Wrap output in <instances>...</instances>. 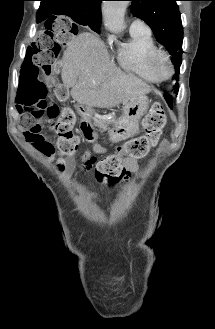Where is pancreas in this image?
<instances>
[{
  "instance_id": "1",
  "label": "pancreas",
  "mask_w": 215,
  "mask_h": 329,
  "mask_svg": "<svg viewBox=\"0 0 215 329\" xmlns=\"http://www.w3.org/2000/svg\"><path fill=\"white\" fill-rule=\"evenodd\" d=\"M118 120L114 116H112L110 119L107 117L103 118H93V125L95 127H98L100 130H108L109 125H115Z\"/></svg>"
}]
</instances>
